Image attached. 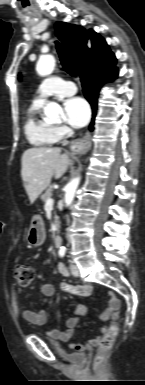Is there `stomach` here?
I'll return each mask as SVG.
<instances>
[{
	"label": "stomach",
	"instance_id": "stomach-1",
	"mask_svg": "<svg viewBox=\"0 0 145 385\" xmlns=\"http://www.w3.org/2000/svg\"><path fill=\"white\" fill-rule=\"evenodd\" d=\"M46 238L44 223L38 216L33 217L27 231L26 240L30 246L37 247L43 244Z\"/></svg>",
	"mask_w": 145,
	"mask_h": 385
}]
</instances>
